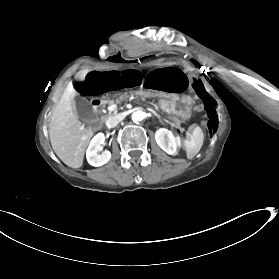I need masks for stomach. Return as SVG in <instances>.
<instances>
[{
	"mask_svg": "<svg viewBox=\"0 0 279 279\" xmlns=\"http://www.w3.org/2000/svg\"><path fill=\"white\" fill-rule=\"evenodd\" d=\"M157 106L163 112L168 111L169 115L175 120H182L191 112V104L184 97H177L173 101L166 97H159Z\"/></svg>",
	"mask_w": 279,
	"mask_h": 279,
	"instance_id": "0dacf381",
	"label": "stomach"
}]
</instances>
